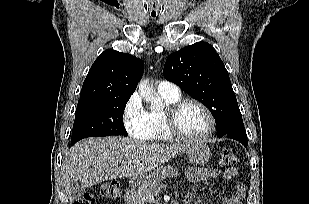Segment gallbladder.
<instances>
[{
    "mask_svg": "<svg viewBox=\"0 0 309 204\" xmlns=\"http://www.w3.org/2000/svg\"><path fill=\"white\" fill-rule=\"evenodd\" d=\"M85 192V187L82 183L78 182L74 185L73 191H72V199L78 200L80 199L81 195Z\"/></svg>",
    "mask_w": 309,
    "mask_h": 204,
    "instance_id": "bac80fb5",
    "label": "gallbladder"
}]
</instances>
